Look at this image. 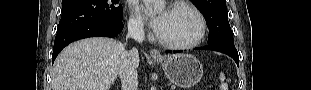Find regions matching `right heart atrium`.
<instances>
[{
  "label": "right heart atrium",
  "mask_w": 311,
  "mask_h": 90,
  "mask_svg": "<svg viewBox=\"0 0 311 90\" xmlns=\"http://www.w3.org/2000/svg\"><path fill=\"white\" fill-rule=\"evenodd\" d=\"M128 26L131 32L133 33H143L145 31V23L140 15V13L135 9L132 8L131 15L128 21Z\"/></svg>",
  "instance_id": "1"
}]
</instances>
